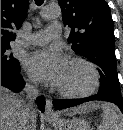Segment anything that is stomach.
I'll use <instances>...</instances> for the list:
<instances>
[{"mask_svg": "<svg viewBox=\"0 0 123 130\" xmlns=\"http://www.w3.org/2000/svg\"><path fill=\"white\" fill-rule=\"evenodd\" d=\"M55 130H92L90 124L83 118L51 121Z\"/></svg>", "mask_w": 123, "mask_h": 130, "instance_id": "obj_1", "label": "stomach"}]
</instances>
